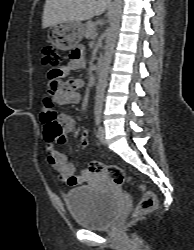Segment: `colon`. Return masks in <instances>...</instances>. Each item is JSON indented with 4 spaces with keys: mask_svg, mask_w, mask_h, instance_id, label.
Segmentation results:
<instances>
[{
    "mask_svg": "<svg viewBox=\"0 0 194 250\" xmlns=\"http://www.w3.org/2000/svg\"><path fill=\"white\" fill-rule=\"evenodd\" d=\"M80 54L81 52L79 49H74L71 53V57L78 58ZM41 62L43 65L54 69L51 72L52 76H61L62 72L60 69H58L61 62L60 55L53 46L47 45L43 47ZM44 102L46 107L51 106L49 98H46ZM80 144L83 148H86L88 146V141L86 138H81ZM89 171L93 174L101 175L119 186L130 181V178L126 172L121 167L116 165H105L99 161H91L89 163ZM140 190L141 199L135 212V216L137 217L148 215L156 208L155 194L151 190L147 189L144 185H140Z\"/></svg>",
    "mask_w": 194,
    "mask_h": 250,
    "instance_id": "colon-1",
    "label": "colon"
}]
</instances>
